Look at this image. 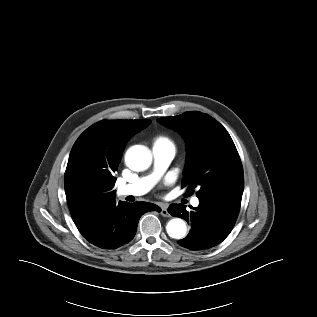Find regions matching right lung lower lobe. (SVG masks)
I'll use <instances>...</instances> for the list:
<instances>
[{
  "instance_id": "98d812e1",
  "label": "right lung lower lobe",
  "mask_w": 317,
  "mask_h": 317,
  "mask_svg": "<svg viewBox=\"0 0 317 317\" xmlns=\"http://www.w3.org/2000/svg\"><path fill=\"white\" fill-rule=\"evenodd\" d=\"M66 197L82 236L105 249H115L131 241L140 217L149 211H161L160 207L151 203H116L115 198L97 200L75 191H66Z\"/></svg>"
}]
</instances>
